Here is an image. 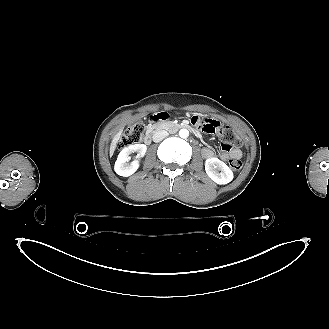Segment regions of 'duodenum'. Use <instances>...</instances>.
I'll list each match as a JSON object with an SVG mask.
<instances>
[{
	"label": "duodenum",
	"mask_w": 329,
	"mask_h": 329,
	"mask_svg": "<svg viewBox=\"0 0 329 329\" xmlns=\"http://www.w3.org/2000/svg\"><path fill=\"white\" fill-rule=\"evenodd\" d=\"M165 119H166V117L163 116L162 114H156V115L152 116L153 127H152V129L148 130L144 136V143L146 145H149L152 141L153 130L157 127H160ZM179 127L180 128H189V126L186 124H181V125H179Z\"/></svg>",
	"instance_id": "obj_1"
}]
</instances>
